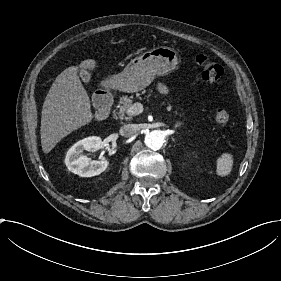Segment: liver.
<instances>
[{
  "mask_svg": "<svg viewBox=\"0 0 281 281\" xmlns=\"http://www.w3.org/2000/svg\"><path fill=\"white\" fill-rule=\"evenodd\" d=\"M79 67L93 70L96 61L84 60ZM77 72L76 66L61 72L45 98L40 127L44 153H49L62 138L90 123L93 118L89 96Z\"/></svg>",
  "mask_w": 281,
  "mask_h": 281,
  "instance_id": "6515ba94",
  "label": "liver"
}]
</instances>
